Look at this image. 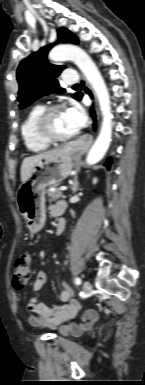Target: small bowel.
Instances as JSON below:
<instances>
[{
    "mask_svg": "<svg viewBox=\"0 0 145 385\" xmlns=\"http://www.w3.org/2000/svg\"><path fill=\"white\" fill-rule=\"evenodd\" d=\"M66 207L65 202L61 201L51 205L49 212L52 216H59ZM47 275L44 270H40L33 282V290L38 291L46 282ZM59 300L63 303L59 306L49 307L40 302L36 297L30 299L27 304V311L32 313L29 322L34 326H45L51 329H57L64 335L77 336L84 330L89 329L98 319L99 314L96 310H86L80 319L75 322L74 319L81 310V304L73 298L72 289L66 285H61Z\"/></svg>",
    "mask_w": 145,
    "mask_h": 385,
    "instance_id": "c3829d8e",
    "label": "small bowel"
}]
</instances>
